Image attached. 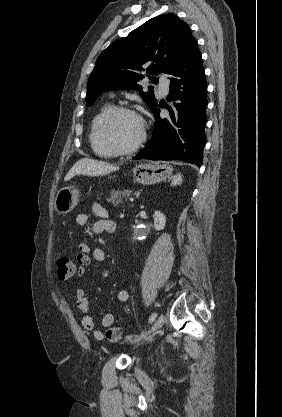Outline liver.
<instances>
[{"label":"liver","mask_w":282,"mask_h":417,"mask_svg":"<svg viewBox=\"0 0 282 417\" xmlns=\"http://www.w3.org/2000/svg\"><path fill=\"white\" fill-rule=\"evenodd\" d=\"M114 170H119V166L115 164H110V162H104V160H94V158H80L69 172H67L64 180H69L75 174H85V176H103V174H109V172H114Z\"/></svg>","instance_id":"1"}]
</instances>
